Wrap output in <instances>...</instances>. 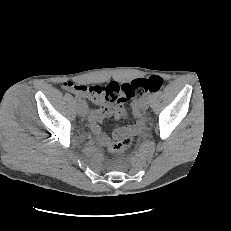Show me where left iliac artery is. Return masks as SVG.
<instances>
[{
    "instance_id": "44dca946",
    "label": "left iliac artery",
    "mask_w": 231,
    "mask_h": 231,
    "mask_svg": "<svg viewBox=\"0 0 231 231\" xmlns=\"http://www.w3.org/2000/svg\"><path fill=\"white\" fill-rule=\"evenodd\" d=\"M145 97L149 98V97H151V94L148 93V94L145 95Z\"/></svg>"
}]
</instances>
